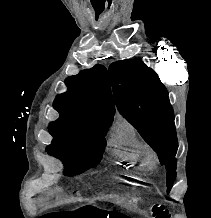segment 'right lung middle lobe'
<instances>
[{
    "instance_id": "dd1d6c3e",
    "label": "right lung middle lobe",
    "mask_w": 211,
    "mask_h": 218,
    "mask_svg": "<svg viewBox=\"0 0 211 218\" xmlns=\"http://www.w3.org/2000/svg\"><path fill=\"white\" fill-rule=\"evenodd\" d=\"M49 132L54 137L53 144L74 146L84 151V156L76 161L65 163L64 174L78 175L97 166L106 146L107 129L102 125H79L68 121L57 120L50 123Z\"/></svg>"
}]
</instances>
